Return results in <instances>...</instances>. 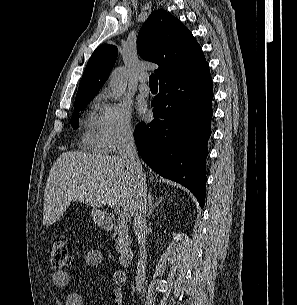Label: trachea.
<instances>
[{
  "mask_svg": "<svg viewBox=\"0 0 297 305\" xmlns=\"http://www.w3.org/2000/svg\"><path fill=\"white\" fill-rule=\"evenodd\" d=\"M150 86H158V75L151 74L149 77Z\"/></svg>",
  "mask_w": 297,
  "mask_h": 305,
  "instance_id": "trachea-1",
  "label": "trachea"
}]
</instances>
